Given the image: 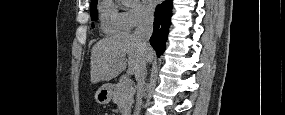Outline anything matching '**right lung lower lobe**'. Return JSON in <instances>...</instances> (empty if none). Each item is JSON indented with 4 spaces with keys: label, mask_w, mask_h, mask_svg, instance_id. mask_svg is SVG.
Instances as JSON below:
<instances>
[{
    "label": "right lung lower lobe",
    "mask_w": 285,
    "mask_h": 115,
    "mask_svg": "<svg viewBox=\"0 0 285 115\" xmlns=\"http://www.w3.org/2000/svg\"><path fill=\"white\" fill-rule=\"evenodd\" d=\"M173 8L172 0H166L156 7L154 30L150 38V44L156 50V54L160 56L165 50V42L168 36V28L171 24V10Z\"/></svg>",
    "instance_id": "98d812e1"
}]
</instances>
